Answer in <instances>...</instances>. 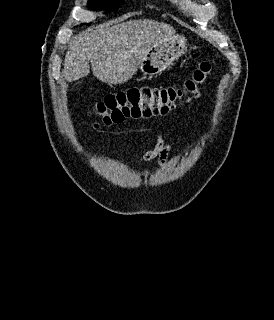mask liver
<instances>
[{
  "mask_svg": "<svg viewBox=\"0 0 274 320\" xmlns=\"http://www.w3.org/2000/svg\"><path fill=\"white\" fill-rule=\"evenodd\" d=\"M175 34L174 28L155 20L100 24L74 36L64 60V78L75 82L90 74L100 82L124 84L137 72L151 48Z\"/></svg>",
  "mask_w": 274,
  "mask_h": 320,
  "instance_id": "6515ba94",
  "label": "liver"
}]
</instances>
